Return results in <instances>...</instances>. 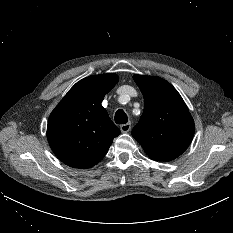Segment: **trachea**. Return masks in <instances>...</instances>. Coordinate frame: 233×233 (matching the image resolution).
Wrapping results in <instances>:
<instances>
[{"instance_id":"obj_1","label":"trachea","mask_w":233,"mask_h":233,"mask_svg":"<svg viewBox=\"0 0 233 233\" xmlns=\"http://www.w3.org/2000/svg\"><path fill=\"white\" fill-rule=\"evenodd\" d=\"M115 122L117 124H125L128 122V117L126 115V113L122 110L119 109L116 111L115 113Z\"/></svg>"}]
</instances>
